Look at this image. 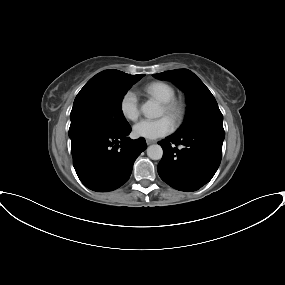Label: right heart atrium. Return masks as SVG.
Instances as JSON below:
<instances>
[{"mask_svg": "<svg viewBox=\"0 0 285 285\" xmlns=\"http://www.w3.org/2000/svg\"><path fill=\"white\" fill-rule=\"evenodd\" d=\"M120 111L123 117L129 121H136L140 115L139 101L136 93L126 91L120 100Z\"/></svg>", "mask_w": 285, "mask_h": 285, "instance_id": "obj_1", "label": "right heart atrium"}]
</instances>
